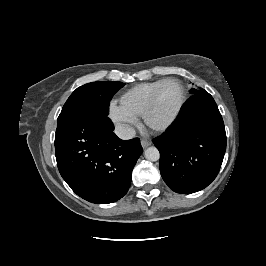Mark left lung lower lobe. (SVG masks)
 <instances>
[{
    "label": "left lung lower lobe",
    "instance_id": "obj_1",
    "mask_svg": "<svg viewBox=\"0 0 266 266\" xmlns=\"http://www.w3.org/2000/svg\"><path fill=\"white\" fill-rule=\"evenodd\" d=\"M160 152V172L175 192L190 194L217 176L226 151L222 116L206 91L194 95L172 127L153 140Z\"/></svg>",
    "mask_w": 266,
    "mask_h": 266
}]
</instances>
